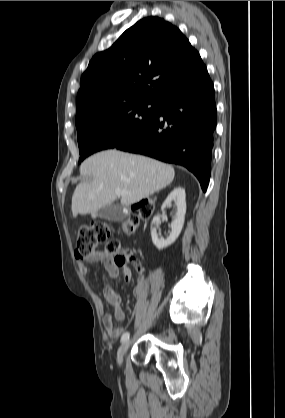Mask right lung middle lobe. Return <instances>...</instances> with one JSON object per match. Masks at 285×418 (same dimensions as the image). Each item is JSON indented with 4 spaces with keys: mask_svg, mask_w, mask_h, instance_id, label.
Here are the masks:
<instances>
[{
    "mask_svg": "<svg viewBox=\"0 0 285 418\" xmlns=\"http://www.w3.org/2000/svg\"><path fill=\"white\" fill-rule=\"evenodd\" d=\"M151 105V107H150ZM158 104L139 101L110 107L76 124L79 163L140 133L157 115Z\"/></svg>",
    "mask_w": 285,
    "mask_h": 418,
    "instance_id": "obj_1",
    "label": "right lung middle lobe"
}]
</instances>
